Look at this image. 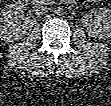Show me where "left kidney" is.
<instances>
[{
  "mask_svg": "<svg viewBox=\"0 0 111 106\" xmlns=\"http://www.w3.org/2000/svg\"><path fill=\"white\" fill-rule=\"evenodd\" d=\"M87 32L92 37L100 39L111 36V10L101 8L96 19L87 25Z\"/></svg>",
  "mask_w": 111,
  "mask_h": 106,
  "instance_id": "1",
  "label": "left kidney"
}]
</instances>
